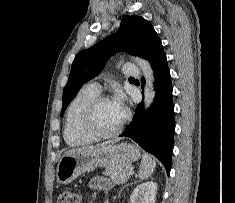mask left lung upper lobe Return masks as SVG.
<instances>
[{
  "instance_id": "1",
  "label": "left lung upper lobe",
  "mask_w": 235,
  "mask_h": 203,
  "mask_svg": "<svg viewBox=\"0 0 235 203\" xmlns=\"http://www.w3.org/2000/svg\"><path fill=\"white\" fill-rule=\"evenodd\" d=\"M159 40L149 21L141 16L125 15L115 34L76 55L63 91L61 115L82 85L97 76L115 52L126 51L131 55L147 58Z\"/></svg>"
}]
</instances>
